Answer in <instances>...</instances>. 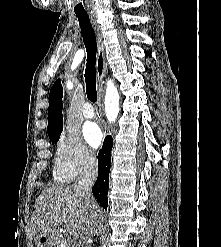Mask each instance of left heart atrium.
Here are the masks:
<instances>
[{"instance_id": "1", "label": "left heart atrium", "mask_w": 221, "mask_h": 247, "mask_svg": "<svg viewBox=\"0 0 221 247\" xmlns=\"http://www.w3.org/2000/svg\"><path fill=\"white\" fill-rule=\"evenodd\" d=\"M83 137L85 141L93 148H97L103 139L102 132L98 125L93 122H87L83 127Z\"/></svg>"}]
</instances>
